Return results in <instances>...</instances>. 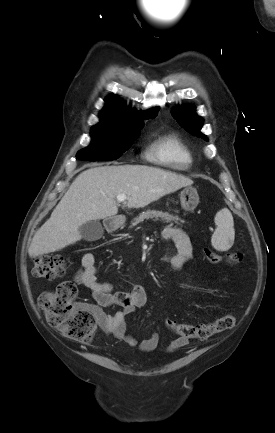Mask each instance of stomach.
<instances>
[{"instance_id":"stomach-1","label":"stomach","mask_w":275,"mask_h":433,"mask_svg":"<svg viewBox=\"0 0 275 433\" xmlns=\"http://www.w3.org/2000/svg\"><path fill=\"white\" fill-rule=\"evenodd\" d=\"M181 207L187 212H193L199 204V195L193 187H186L180 193ZM111 227L120 226L124 222V218L113 219Z\"/></svg>"}]
</instances>
